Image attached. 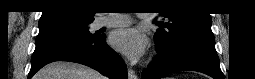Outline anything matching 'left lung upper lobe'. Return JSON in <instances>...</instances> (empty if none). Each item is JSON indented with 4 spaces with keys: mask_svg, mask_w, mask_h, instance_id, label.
I'll return each mask as SVG.
<instances>
[{
    "mask_svg": "<svg viewBox=\"0 0 255 79\" xmlns=\"http://www.w3.org/2000/svg\"><path fill=\"white\" fill-rule=\"evenodd\" d=\"M157 2L159 7L163 9L160 14L169 19L168 22L158 23L160 29L154 36L157 48L166 49L184 36L213 35L209 14L201 11L181 12L176 6L178 4L176 1L161 0Z\"/></svg>",
    "mask_w": 255,
    "mask_h": 79,
    "instance_id": "1",
    "label": "left lung upper lobe"
}]
</instances>
